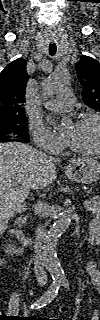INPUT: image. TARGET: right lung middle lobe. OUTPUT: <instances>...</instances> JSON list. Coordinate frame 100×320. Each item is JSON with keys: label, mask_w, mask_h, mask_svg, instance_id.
<instances>
[{"label": "right lung middle lobe", "mask_w": 100, "mask_h": 320, "mask_svg": "<svg viewBox=\"0 0 100 320\" xmlns=\"http://www.w3.org/2000/svg\"><path fill=\"white\" fill-rule=\"evenodd\" d=\"M0 135L2 142L9 141L11 135H18L23 142L29 141L27 121L25 116L13 117L0 120Z\"/></svg>", "instance_id": "dd1d6c3e"}]
</instances>
